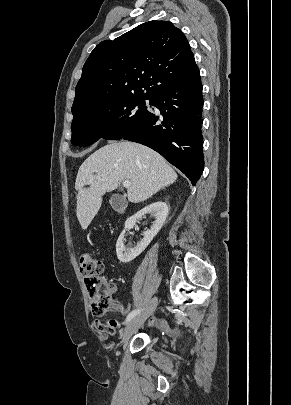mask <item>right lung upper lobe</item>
I'll return each mask as SVG.
<instances>
[{"instance_id": "right-lung-upper-lobe-1", "label": "right lung upper lobe", "mask_w": 291, "mask_h": 405, "mask_svg": "<svg viewBox=\"0 0 291 405\" xmlns=\"http://www.w3.org/2000/svg\"><path fill=\"white\" fill-rule=\"evenodd\" d=\"M198 74L182 31L168 21H149L94 48L76 86L72 113L126 96L152 98Z\"/></svg>"}]
</instances>
